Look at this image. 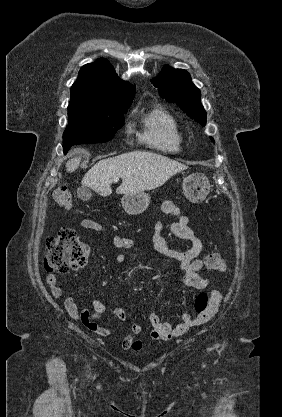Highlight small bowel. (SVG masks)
Masks as SVG:
<instances>
[{"label": "small bowel", "mask_w": 282, "mask_h": 417, "mask_svg": "<svg viewBox=\"0 0 282 417\" xmlns=\"http://www.w3.org/2000/svg\"><path fill=\"white\" fill-rule=\"evenodd\" d=\"M161 208L165 214H171L176 218L170 225L171 233L182 240L188 241L190 246L186 249L170 247L162 235L163 223L158 221L154 225L152 235V243L155 251L164 258L177 263L185 287L204 290L208 286V279L199 273L207 264V260L199 257L203 247L202 241L189 226L188 217L181 212L176 204L171 201H165ZM79 226L88 230L106 232V228L103 225L90 219L81 220ZM109 241L117 251L115 254V260L117 262H123L126 258L125 251L134 246L133 239L129 237L112 236ZM46 283L50 287L51 294L54 298L63 299L68 315L73 320L81 322L92 332L101 336H109L111 334L109 328L99 326L97 323L98 318L103 314L111 313L119 321L126 319L124 309L118 307L109 308L99 299L92 301L93 311H89L88 309L79 310L73 297L69 295L64 297L63 290L58 286L57 277L54 274L47 275ZM221 303L222 294L219 291L213 290L209 296L208 306L203 313L198 315L183 313L180 320L176 323L162 321L156 312H151L148 316L150 338L153 340H170L174 337L181 336L191 328L205 325L218 313ZM85 311L86 313H84ZM142 329V325L132 324L129 334L121 342V348L123 350L139 352L143 347V343L140 339L136 338V335Z\"/></svg>", "instance_id": "obj_1"}]
</instances>
